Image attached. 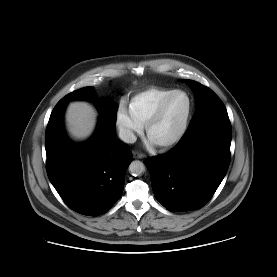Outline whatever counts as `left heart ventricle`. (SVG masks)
Listing matches in <instances>:
<instances>
[{"label":"left heart ventricle","mask_w":277,"mask_h":277,"mask_svg":"<svg viewBox=\"0 0 277 277\" xmlns=\"http://www.w3.org/2000/svg\"><path fill=\"white\" fill-rule=\"evenodd\" d=\"M188 110V99L184 94L175 95L166 105L161 117L150 130L149 137L155 144L174 137L183 125Z\"/></svg>","instance_id":"1"}]
</instances>
